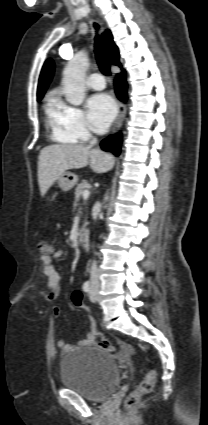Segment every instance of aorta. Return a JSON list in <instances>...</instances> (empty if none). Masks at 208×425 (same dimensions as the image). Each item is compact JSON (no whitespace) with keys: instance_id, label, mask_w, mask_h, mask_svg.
<instances>
[{"instance_id":"aorta-1","label":"aorta","mask_w":208,"mask_h":425,"mask_svg":"<svg viewBox=\"0 0 208 425\" xmlns=\"http://www.w3.org/2000/svg\"><path fill=\"white\" fill-rule=\"evenodd\" d=\"M89 66L88 56L77 53L63 72L62 84L66 100L75 106L81 105L85 98V75Z\"/></svg>"}]
</instances>
